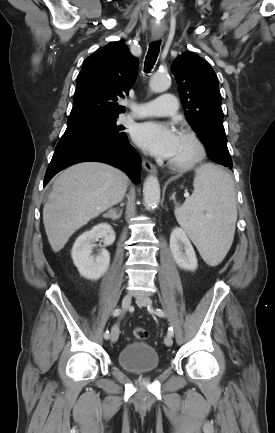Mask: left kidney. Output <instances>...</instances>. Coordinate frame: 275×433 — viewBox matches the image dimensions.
I'll list each match as a JSON object with an SVG mask.
<instances>
[{"label":"left kidney","instance_id":"1","mask_svg":"<svg viewBox=\"0 0 275 433\" xmlns=\"http://www.w3.org/2000/svg\"><path fill=\"white\" fill-rule=\"evenodd\" d=\"M170 250L180 268L195 270L198 266L194 248L182 228L176 227L170 235Z\"/></svg>","mask_w":275,"mask_h":433}]
</instances>
